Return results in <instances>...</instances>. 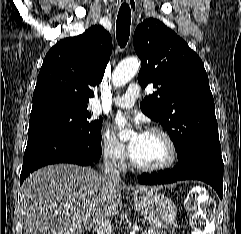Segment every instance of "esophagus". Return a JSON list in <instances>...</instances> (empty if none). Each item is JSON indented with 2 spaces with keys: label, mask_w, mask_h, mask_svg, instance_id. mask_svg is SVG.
<instances>
[{
  "label": "esophagus",
  "mask_w": 241,
  "mask_h": 234,
  "mask_svg": "<svg viewBox=\"0 0 241 234\" xmlns=\"http://www.w3.org/2000/svg\"><path fill=\"white\" fill-rule=\"evenodd\" d=\"M122 2L127 3L129 5L132 13L136 11V0H122Z\"/></svg>",
  "instance_id": "obj_1"
}]
</instances>
